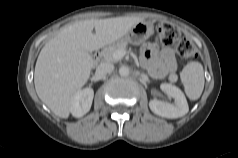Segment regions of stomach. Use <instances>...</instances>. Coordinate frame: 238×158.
<instances>
[{"mask_svg":"<svg viewBox=\"0 0 238 158\" xmlns=\"http://www.w3.org/2000/svg\"><path fill=\"white\" fill-rule=\"evenodd\" d=\"M154 33V26L151 22L141 21L134 25L125 35L123 40L134 45L146 41Z\"/></svg>","mask_w":238,"mask_h":158,"instance_id":"obj_1","label":"stomach"}]
</instances>
